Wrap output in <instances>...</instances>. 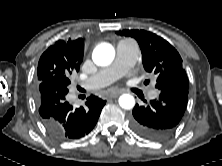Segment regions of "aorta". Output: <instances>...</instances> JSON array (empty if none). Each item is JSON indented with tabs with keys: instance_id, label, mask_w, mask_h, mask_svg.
<instances>
[{
	"instance_id": "762f6f07",
	"label": "aorta",
	"mask_w": 222,
	"mask_h": 166,
	"mask_svg": "<svg viewBox=\"0 0 222 166\" xmlns=\"http://www.w3.org/2000/svg\"><path fill=\"white\" fill-rule=\"evenodd\" d=\"M115 57L114 47L109 43H101L95 47L92 59L98 66H107L112 63ZM119 105L125 110H130L135 106V99L130 94H123L119 97Z\"/></svg>"
}]
</instances>
